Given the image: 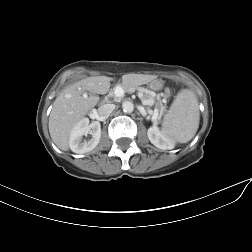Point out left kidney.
Masks as SVG:
<instances>
[{
  "label": "left kidney",
  "instance_id": "obj_1",
  "mask_svg": "<svg viewBox=\"0 0 252 252\" xmlns=\"http://www.w3.org/2000/svg\"><path fill=\"white\" fill-rule=\"evenodd\" d=\"M147 135L150 142L157 148L163 150L174 148V142L161 132L155 124L148 129Z\"/></svg>",
  "mask_w": 252,
  "mask_h": 252
}]
</instances>
